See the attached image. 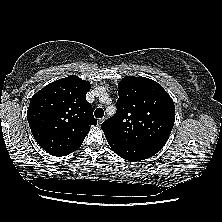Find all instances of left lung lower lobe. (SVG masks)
Returning <instances> with one entry per match:
<instances>
[{
	"instance_id": "0a47b994",
	"label": "left lung lower lobe",
	"mask_w": 222,
	"mask_h": 222,
	"mask_svg": "<svg viewBox=\"0 0 222 222\" xmlns=\"http://www.w3.org/2000/svg\"><path fill=\"white\" fill-rule=\"evenodd\" d=\"M106 139L117 155L131 162L150 158L162 149L153 145L123 143L109 137H106Z\"/></svg>"
}]
</instances>
